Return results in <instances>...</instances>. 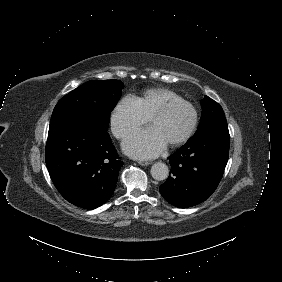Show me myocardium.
<instances>
[{
	"instance_id": "obj_1",
	"label": "myocardium",
	"mask_w": 282,
	"mask_h": 282,
	"mask_svg": "<svg viewBox=\"0 0 282 282\" xmlns=\"http://www.w3.org/2000/svg\"><path fill=\"white\" fill-rule=\"evenodd\" d=\"M183 108L187 110L190 115V121L188 127L186 128L185 132L177 139L170 141L169 145L171 146H178L185 143L193 134L196 129L197 122H198V114L196 109L187 101L183 100H172L166 107L161 110H156L151 114L149 117V123L152 124L154 119L158 117H162L174 109Z\"/></svg>"
}]
</instances>
